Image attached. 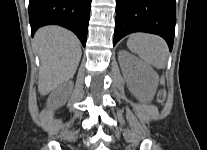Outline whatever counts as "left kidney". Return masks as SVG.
<instances>
[{"instance_id":"1","label":"left kidney","mask_w":207,"mask_h":150,"mask_svg":"<svg viewBox=\"0 0 207 150\" xmlns=\"http://www.w3.org/2000/svg\"><path fill=\"white\" fill-rule=\"evenodd\" d=\"M119 62L122 72L128 80L131 93L144 102L151 101L158 86V75L153 68L124 50L119 52ZM133 66L139 71V79L142 84L139 88L135 85Z\"/></svg>"}]
</instances>
